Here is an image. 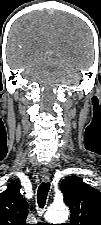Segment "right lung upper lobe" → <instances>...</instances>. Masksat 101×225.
Here are the masks:
<instances>
[{
    "instance_id": "cb5924a9",
    "label": "right lung upper lobe",
    "mask_w": 101,
    "mask_h": 225,
    "mask_svg": "<svg viewBox=\"0 0 101 225\" xmlns=\"http://www.w3.org/2000/svg\"><path fill=\"white\" fill-rule=\"evenodd\" d=\"M20 188L13 181L0 194V225H26L28 203L22 198Z\"/></svg>"
}]
</instances>
